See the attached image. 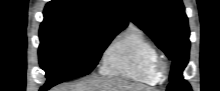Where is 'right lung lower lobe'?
<instances>
[{
	"label": "right lung lower lobe",
	"instance_id": "1",
	"mask_svg": "<svg viewBox=\"0 0 220 91\" xmlns=\"http://www.w3.org/2000/svg\"><path fill=\"white\" fill-rule=\"evenodd\" d=\"M41 90L44 91V90H47V88L46 87H42Z\"/></svg>",
	"mask_w": 220,
	"mask_h": 91
}]
</instances>
